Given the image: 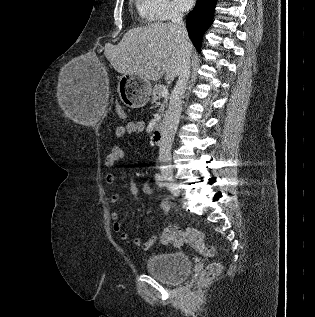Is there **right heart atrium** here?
<instances>
[{
  "label": "right heart atrium",
  "mask_w": 315,
  "mask_h": 317,
  "mask_svg": "<svg viewBox=\"0 0 315 317\" xmlns=\"http://www.w3.org/2000/svg\"><path fill=\"white\" fill-rule=\"evenodd\" d=\"M144 12L151 20L164 21L179 16L170 0H139Z\"/></svg>",
  "instance_id": "1"
}]
</instances>
